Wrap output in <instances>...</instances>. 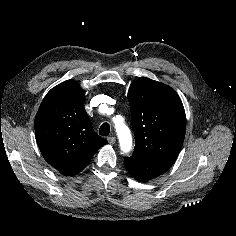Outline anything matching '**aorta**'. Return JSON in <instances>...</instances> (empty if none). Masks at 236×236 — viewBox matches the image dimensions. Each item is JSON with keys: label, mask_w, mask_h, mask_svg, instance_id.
<instances>
[{"label": "aorta", "mask_w": 236, "mask_h": 236, "mask_svg": "<svg viewBox=\"0 0 236 236\" xmlns=\"http://www.w3.org/2000/svg\"><path fill=\"white\" fill-rule=\"evenodd\" d=\"M115 129L119 138L120 149L128 153L132 149V136L129 128L122 122L115 120Z\"/></svg>", "instance_id": "1"}]
</instances>
